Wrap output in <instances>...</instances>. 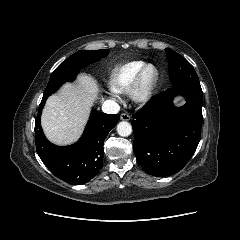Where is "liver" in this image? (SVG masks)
Masks as SVG:
<instances>
[{
    "label": "liver",
    "instance_id": "liver-1",
    "mask_svg": "<svg viewBox=\"0 0 240 240\" xmlns=\"http://www.w3.org/2000/svg\"><path fill=\"white\" fill-rule=\"evenodd\" d=\"M97 94L96 81L86 74L78 76L77 84H64L58 94L47 99L43 110L41 124L46 137L57 145L78 140Z\"/></svg>",
    "mask_w": 240,
    "mask_h": 240
}]
</instances>
